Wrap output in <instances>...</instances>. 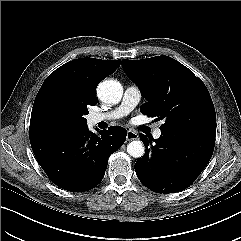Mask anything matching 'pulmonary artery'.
Here are the masks:
<instances>
[{"instance_id": "1", "label": "pulmonary artery", "mask_w": 241, "mask_h": 241, "mask_svg": "<svg viewBox=\"0 0 241 241\" xmlns=\"http://www.w3.org/2000/svg\"><path fill=\"white\" fill-rule=\"evenodd\" d=\"M141 99V92L137 86H128L124 92L122 102L115 109L108 112H96L89 116L91 124L95 125L100 122L116 120L126 116L130 113L139 103ZM161 136L160 128H156L153 132L154 138Z\"/></svg>"}]
</instances>
